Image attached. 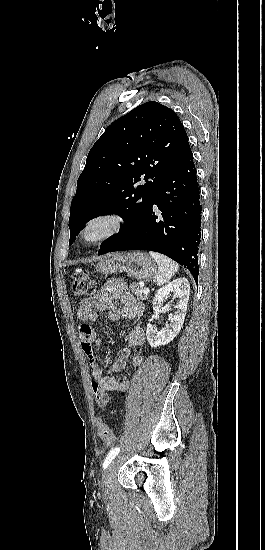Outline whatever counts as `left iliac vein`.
I'll return each instance as SVG.
<instances>
[{
	"label": "left iliac vein",
	"instance_id": "1",
	"mask_svg": "<svg viewBox=\"0 0 265 550\" xmlns=\"http://www.w3.org/2000/svg\"><path fill=\"white\" fill-rule=\"evenodd\" d=\"M114 468V463H112L103 474V483L105 486H110L112 480V471Z\"/></svg>",
	"mask_w": 265,
	"mask_h": 550
}]
</instances>
